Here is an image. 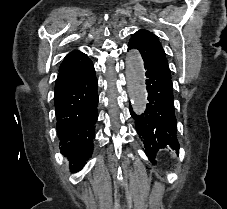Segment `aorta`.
<instances>
[{
    "instance_id": "obj_1",
    "label": "aorta",
    "mask_w": 227,
    "mask_h": 209,
    "mask_svg": "<svg viewBox=\"0 0 227 209\" xmlns=\"http://www.w3.org/2000/svg\"><path fill=\"white\" fill-rule=\"evenodd\" d=\"M127 90L135 113H144L147 106L145 70L138 50L131 49L126 57Z\"/></svg>"
}]
</instances>
